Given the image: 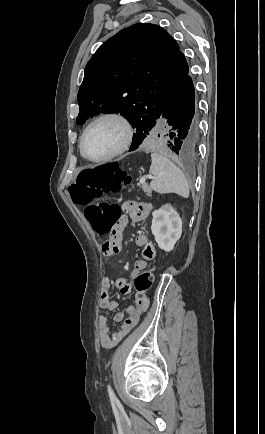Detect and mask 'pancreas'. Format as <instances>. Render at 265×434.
<instances>
[{
  "instance_id": "1",
  "label": "pancreas",
  "mask_w": 265,
  "mask_h": 434,
  "mask_svg": "<svg viewBox=\"0 0 265 434\" xmlns=\"http://www.w3.org/2000/svg\"><path fill=\"white\" fill-rule=\"evenodd\" d=\"M140 188H142L143 192H145L146 196H152V190L150 188V186H148V184H142V186H140Z\"/></svg>"
}]
</instances>
